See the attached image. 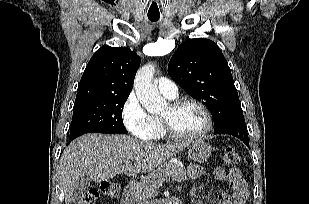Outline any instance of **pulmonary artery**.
I'll return each mask as SVG.
<instances>
[{
	"label": "pulmonary artery",
	"mask_w": 309,
	"mask_h": 204,
	"mask_svg": "<svg viewBox=\"0 0 309 204\" xmlns=\"http://www.w3.org/2000/svg\"><path fill=\"white\" fill-rule=\"evenodd\" d=\"M159 91L168 98H175L178 94L176 84L167 77H159L156 79Z\"/></svg>",
	"instance_id": "obj_1"
}]
</instances>
